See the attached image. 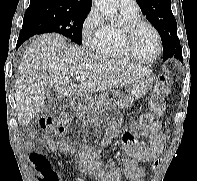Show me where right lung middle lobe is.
<instances>
[{"label":"right lung middle lobe","mask_w":197,"mask_h":181,"mask_svg":"<svg viewBox=\"0 0 197 181\" xmlns=\"http://www.w3.org/2000/svg\"><path fill=\"white\" fill-rule=\"evenodd\" d=\"M88 13L89 11L71 12L56 9L27 10L22 30L32 32L34 35L60 33L72 42L82 44V26Z\"/></svg>","instance_id":"dd1d6c3e"}]
</instances>
